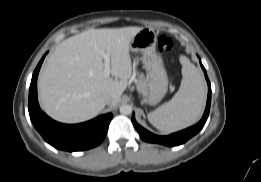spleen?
I'll return each instance as SVG.
<instances>
[{
	"label": "spleen",
	"mask_w": 261,
	"mask_h": 182,
	"mask_svg": "<svg viewBox=\"0 0 261 182\" xmlns=\"http://www.w3.org/2000/svg\"><path fill=\"white\" fill-rule=\"evenodd\" d=\"M182 81L173 98L147 115L148 121L163 133L184 129L198 121L205 106L206 88L200 71L185 56L180 57Z\"/></svg>",
	"instance_id": "spleen-1"
}]
</instances>
